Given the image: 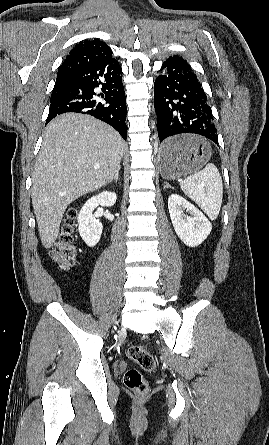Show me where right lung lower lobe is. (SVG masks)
<instances>
[{"mask_svg":"<svg viewBox=\"0 0 269 445\" xmlns=\"http://www.w3.org/2000/svg\"><path fill=\"white\" fill-rule=\"evenodd\" d=\"M121 74L120 64L111 57L84 68L63 85L54 87L61 94L50 101L46 123L66 112L89 114L111 125L126 140L127 109ZM96 88H100L101 93Z\"/></svg>","mask_w":269,"mask_h":445,"instance_id":"98d812e1","label":"right lung lower lobe"}]
</instances>
